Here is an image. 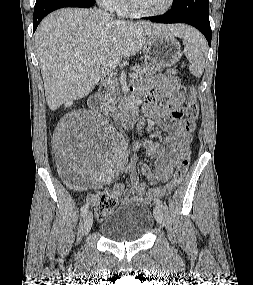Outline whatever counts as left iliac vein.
<instances>
[{
    "instance_id": "4c4485c4",
    "label": "left iliac vein",
    "mask_w": 253,
    "mask_h": 285,
    "mask_svg": "<svg viewBox=\"0 0 253 285\" xmlns=\"http://www.w3.org/2000/svg\"><path fill=\"white\" fill-rule=\"evenodd\" d=\"M154 217L158 223H162L163 221V210L160 206H155L154 208Z\"/></svg>"
}]
</instances>
